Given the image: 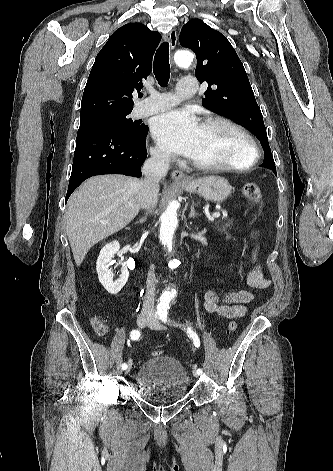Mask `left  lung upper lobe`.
I'll return each instance as SVG.
<instances>
[{"label":"left lung upper lobe","mask_w":333,"mask_h":471,"mask_svg":"<svg viewBox=\"0 0 333 471\" xmlns=\"http://www.w3.org/2000/svg\"><path fill=\"white\" fill-rule=\"evenodd\" d=\"M180 44L195 52V76L200 83L208 82L203 105L248 128L264 149L265 157L261 166L276 175L260 107L244 66L228 39L202 20L192 19L182 28Z\"/></svg>","instance_id":"1"}]
</instances>
